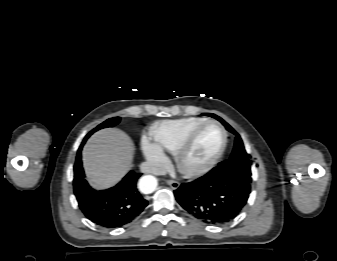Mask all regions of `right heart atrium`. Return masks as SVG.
Wrapping results in <instances>:
<instances>
[{"mask_svg": "<svg viewBox=\"0 0 337 261\" xmlns=\"http://www.w3.org/2000/svg\"><path fill=\"white\" fill-rule=\"evenodd\" d=\"M143 152L155 169H161L165 166L167 158L165 154L149 139L142 141Z\"/></svg>", "mask_w": 337, "mask_h": 261, "instance_id": "right-heart-atrium-1", "label": "right heart atrium"}]
</instances>
